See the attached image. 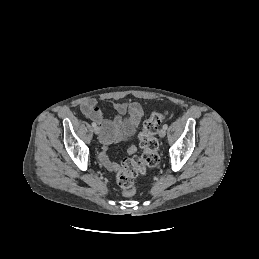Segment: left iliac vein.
Wrapping results in <instances>:
<instances>
[{"instance_id": "1", "label": "left iliac vein", "mask_w": 259, "mask_h": 259, "mask_svg": "<svg viewBox=\"0 0 259 259\" xmlns=\"http://www.w3.org/2000/svg\"><path fill=\"white\" fill-rule=\"evenodd\" d=\"M165 135H166V130H165L164 128L160 129V131H159V136H160L161 138H163V137H165Z\"/></svg>"}]
</instances>
